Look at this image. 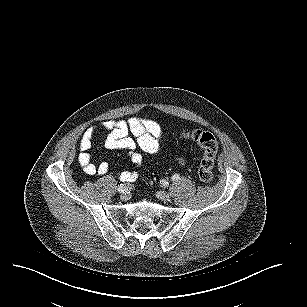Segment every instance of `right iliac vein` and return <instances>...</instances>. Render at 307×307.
<instances>
[{
    "label": "right iliac vein",
    "mask_w": 307,
    "mask_h": 307,
    "mask_svg": "<svg viewBox=\"0 0 307 307\" xmlns=\"http://www.w3.org/2000/svg\"><path fill=\"white\" fill-rule=\"evenodd\" d=\"M120 199L122 201H127L129 199V193L127 192V188H124L123 192H120Z\"/></svg>",
    "instance_id": "obj_1"
}]
</instances>
